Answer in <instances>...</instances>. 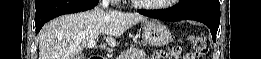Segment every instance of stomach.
Wrapping results in <instances>:
<instances>
[{
    "label": "stomach",
    "instance_id": "0dacf381",
    "mask_svg": "<svg viewBox=\"0 0 261 59\" xmlns=\"http://www.w3.org/2000/svg\"><path fill=\"white\" fill-rule=\"evenodd\" d=\"M141 34L143 42L151 46L161 47L172 41L170 30L158 20H145Z\"/></svg>",
    "mask_w": 261,
    "mask_h": 59
}]
</instances>
